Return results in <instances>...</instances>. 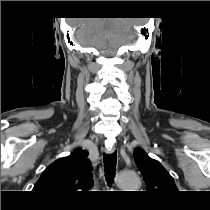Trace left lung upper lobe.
<instances>
[{
    "instance_id": "1",
    "label": "left lung upper lobe",
    "mask_w": 210,
    "mask_h": 210,
    "mask_svg": "<svg viewBox=\"0 0 210 210\" xmlns=\"http://www.w3.org/2000/svg\"><path fill=\"white\" fill-rule=\"evenodd\" d=\"M135 163L141 172L148 192L173 193L177 191L174 179L156 160L150 158L144 150H134Z\"/></svg>"
}]
</instances>
